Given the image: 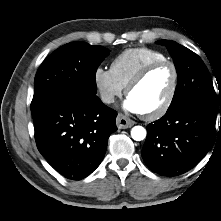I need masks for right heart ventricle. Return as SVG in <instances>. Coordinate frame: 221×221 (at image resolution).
<instances>
[{
    "instance_id": "obj_1",
    "label": "right heart ventricle",
    "mask_w": 221,
    "mask_h": 221,
    "mask_svg": "<svg viewBox=\"0 0 221 221\" xmlns=\"http://www.w3.org/2000/svg\"><path fill=\"white\" fill-rule=\"evenodd\" d=\"M165 59L166 57L161 52L151 48H129L113 59L110 71L115 79L125 88L144 66L151 62Z\"/></svg>"
}]
</instances>
